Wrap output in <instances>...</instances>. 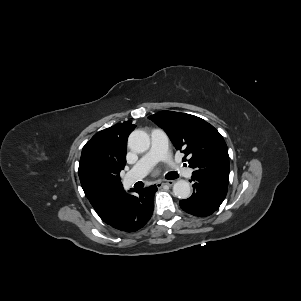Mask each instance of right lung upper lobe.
I'll return each instance as SVG.
<instances>
[{
	"mask_svg": "<svg viewBox=\"0 0 301 301\" xmlns=\"http://www.w3.org/2000/svg\"><path fill=\"white\" fill-rule=\"evenodd\" d=\"M135 127L132 121L116 124L98 132L85 144L78 170L81 185L85 175L94 168L120 173L126 164L127 139ZM83 190L102 220L109 216L124 192L122 183L112 195L107 197H99L84 188Z\"/></svg>",
	"mask_w": 301,
	"mask_h": 301,
	"instance_id": "obj_1",
	"label": "right lung upper lobe"
}]
</instances>
